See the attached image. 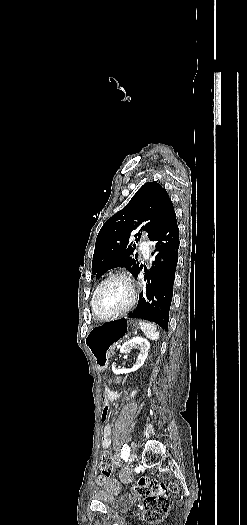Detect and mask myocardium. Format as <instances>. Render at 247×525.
I'll list each match as a JSON object with an SVG mask.
<instances>
[{
	"label": "myocardium",
	"instance_id": "obj_1",
	"mask_svg": "<svg viewBox=\"0 0 247 525\" xmlns=\"http://www.w3.org/2000/svg\"><path fill=\"white\" fill-rule=\"evenodd\" d=\"M115 278H122V279H126V280L129 281L130 286H131L130 297L127 300L126 303H124L123 305H121L118 308H115V309L109 310V311L101 310L97 306L98 293H99L101 287L106 282H108L111 279H115ZM135 284L136 283H135V279H134L133 275L128 273V272L115 271V272L111 273L110 275H108L106 278H104L102 281H100L98 283V285L96 286V288L94 290V293L92 295V309H93V312L99 317H112V316H118V315L126 313L133 306V304L135 302Z\"/></svg>",
	"mask_w": 247,
	"mask_h": 525
}]
</instances>
